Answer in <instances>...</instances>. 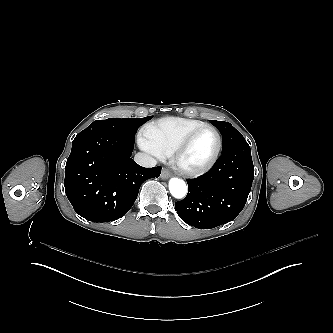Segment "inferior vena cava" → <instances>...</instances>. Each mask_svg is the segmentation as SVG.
Segmentation results:
<instances>
[{
  "mask_svg": "<svg viewBox=\"0 0 333 333\" xmlns=\"http://www.w3.org/2000/svg\"><path fill=\"white\" fill-rule=\"evenodd\" d=\"M135 161L139 165H141L142 167H145V168H152L157 165L156 159H154L153 157H151L150 155H147L145 153H138L135 156Z\"/></svg>",
  "mask_w": 333,
  "mask_h": 333,
  "instance_id": "1",
  "label": "inferior vena cava"
}]
</instances>
